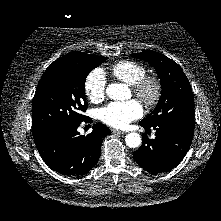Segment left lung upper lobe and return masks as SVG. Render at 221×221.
<instances>
[{
  "label": "left lung upper lobe",
  "mask_w": 221,
  "mask_h": 221,
  "mask_svg": "<svg viewBox=\"0 0 221 221\" xmlns=\"http://www.w3.org/2000/svg\"><path fill=\"white\" fill-rule=\"evenodd\" d=\"M132 57L144 59L155 68L162 88L156 108L140 123L174 124L194 130V97L182 68L167 56L151 50L134 53Z\"/></svg>",
  "instance_id": "5c2ea615"
}]
</instances>
